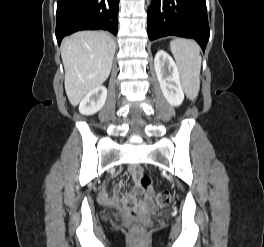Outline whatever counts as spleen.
I'll use <instances>...</instances> for the list:
<instances>
[{
  "mask_svg": "<svg viewBox=\"0 0 264 247\" xmlns=\"http://www.w3.org/2000/svg\"><path fill=\"white\" fill-rule=\"evenodd\" d=\"M170 49L176 60L184 91L193 100L200 89V48L194 41L174 39L170 42Z\"/></svg>",
  "mask_w": 264,
  "mask_h": 247,
  "instance_id": "spleen-1",
  "label": "spleen"
}]
</instances>
